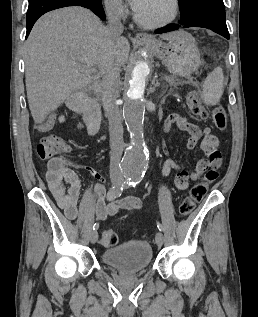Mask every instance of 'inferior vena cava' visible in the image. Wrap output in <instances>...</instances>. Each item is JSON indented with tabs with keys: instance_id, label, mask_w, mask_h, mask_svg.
Returning a JSON list of instances; mask_svg holds the SVG:
<instances>
[{
	"instance_id": "inferior-vena-cava-1",
	"label": "inferior vena cava",
	"mask_w": 258,
	"mask_h": 317,
	"mask_svg": "<svg viewBox=\"0 0 258 317\" xmlns=\"http://www.w3.org/2000/svg\"><path fill=\"white\" fill-rule=\"evenodd\" d=\"M108 18V32L111 38H118L124 28L119 12L115 10L112 0L106 4ZM101 100L109 120L110 132V175L111 180H121L123 173L120 171V161L123 152V126L122 116L118 104V86L120 84V64H115L114 58H107L101 68Z\"/></svg>"
}]
</instances>
